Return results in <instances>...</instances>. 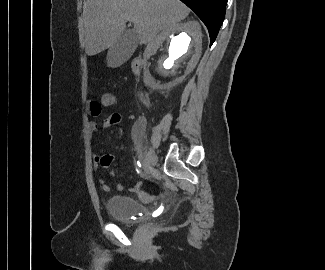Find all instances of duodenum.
Returning a JSON list of instances; mask_svg holds the SVG:
<instances>
[{
	"label": "duodenum",
	"mask_w": 325,
	"mask_h": 270,
	"mask_svg": "<svg viewBox=\"0 0 325 270\" xmlns=\"http://www.w3.org/2000/svg\"><path fill=\"white\" fill-rule=\"evenodd\" d=\"M143 59L141 57H136L132 62V71L135 75H139L143 68Z\"/></svg>",
	"instance_id": "1"
}]
</instances>
